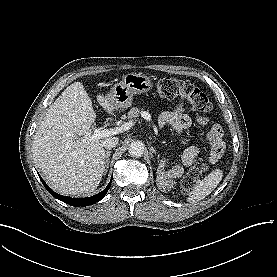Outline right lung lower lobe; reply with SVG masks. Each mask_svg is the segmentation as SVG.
<instances>
[{"instance_id": "right-lung-lower-lobe-1", "label": "right lung lower lobe", "mask_w": 277, "mask_h": 277, "mask_svg": "<svg viewBox=\"0 0 277 277\" xmlns=\"http://www.w3.org/2000/svg\"><path fill=\"white\" fill-rule=\"evenodd\" d=\"M40 180L42 181L45 188L51 193V195H53L55 198L65 202L66 204H69L71 206H76V207H78V206H88V205H92V204H95L96 202L100 201L106 195L108 189L111 186V182H112V179H111V181L109 182L107 187L103 191H101L100 193H98L94 196H91V197L79 199V198H70V197H67V196L59 195V194L55 193L54 191H52L47 186V184L44 182V180L41 177H40Z\"/></svg>"}]
</instances>
